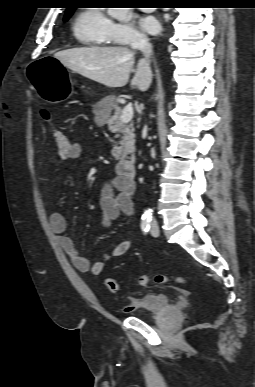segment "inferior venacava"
Listing matches in <instances>:
<instances>
[{"mask_svg": "<svg viewBox=\"0 0 255 387\" xmlns=\"http://www.w3.org/2000/svg\"><path fill=\"white\" fill-rule=\"evenodd\" d=\"M132 49H138L140 50L143 55L144 59L146 60V64L148 69H150L149 63H150V57L152 55V46L149 43L147 37L145 36H137L134 38L133 42L131 43Z\"/></svg>", "mask_w": 255, "mask_h": 387, "instance_id": "obj_1", "label": "inferior vena cava"}]
</instances>
